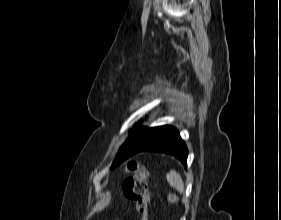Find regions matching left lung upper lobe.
<instances>
[{"label":"left lung upper lobe","instance_id":"obj_1","mask_svg":"<svg viewBox=\"0 0 281 220\" xmlns=\"http://www.w3.org/2000/svg\"><path fill=\"white\" fill-rule=\"evenodd\" d=\"M157 128L158 127H136L133 129L129 139L120 148L112 164V168L116 167L124 160L137 153L138 149L153 137Z\"/></svg>","mask_w":281,"mask_h":220}]
</instances>
